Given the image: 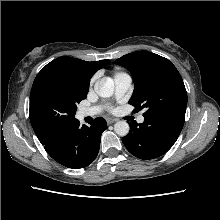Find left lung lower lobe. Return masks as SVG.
<instances>
[{
    "label": "left lung lower lobe",
    "mask_w": 220,
    "mask_h": 220,
    "mask_svg": "<svg viewBox=\"0 0 220 220\" xmlns=\"http://www.w3.org/2000/svg\"><path fill=\"white\" fill-rule=\"evenodd\" d=\"M186 109L163 110L144 115L141 124H130L122 138L127 150L137 158L149 160L165 154L176 142L184 125Z\"/></svg>",
    "instance_id": "obj_1"
}]
</instances>
